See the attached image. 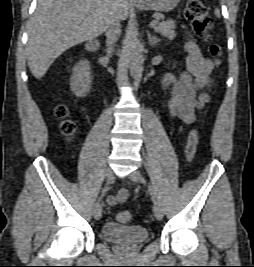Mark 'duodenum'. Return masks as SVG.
Returning a JSON list of instances; mask_svg holds the SVG:
<instances>
[{"label": "duodenum", "mask_w": 254, "mask_h": 267, "mask_svg": "<svg viewBox=\"0 0 254 267\" xmlns=\"http://www.w3.org/2000/svg\"><path fill=\"white\" fill-rule=\"evenodd\" d=\"M98 48H99V43L96 40L90 41L86 46V49L91 52L96 51Z\"/></svg>", "instance_id": "410a0bca"}]
</instances>
